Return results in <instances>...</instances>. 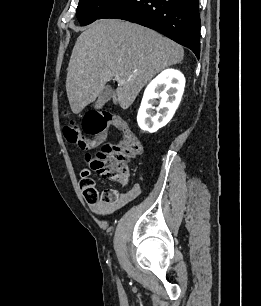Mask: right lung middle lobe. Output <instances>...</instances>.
Listing matches in <instances>:
<instances>
[{"instance_id": "dd1d6c3e", "label": "right lung middle lobe", "mask_w": 261, "mask_h": 306, "mask_svg": "<svg viewBox=\"0 0 261 306\" xmlns=\"http://www.w3.org/2000/svg\"><path fill=\"white\" fill-rule=\"evenodd\" d=\"M117 0H80L77 18L82 26L97 20Z\"/></svg>"}]
</instances>
